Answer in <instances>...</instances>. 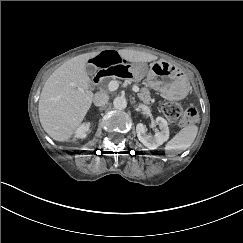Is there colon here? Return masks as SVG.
<instances>
[{"mask_svg": "<svg viewBox=\"0 0 243 243\" xmlns=\"http://www.w3.org/2000/svg\"><path fill=\"white\" fill-rule=\"evenodd\" d=\"M162 112L169 120H180L181 126L194 124L198 120L196 108L189 107L183 109L182 105L176 101L166 102L162 107Z\"/></svg>", "mask_w": 243, "mask_h": 243, "instance_id": "colon-1", "label": "colon"}]
</instances>
